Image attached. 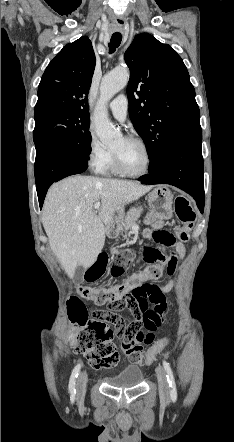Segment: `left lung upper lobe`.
I'll list each match as a JSON object with an SVG mask.
<instances>
[{
    "label": "left lung upper lobe",
    "instance_id": "obj_1",
    "mask_svg": "<svg viewBox=\"0 0 234 442\" xmlns=\"http://www.w3.org/2000/svg\"><path fill=\"white\" fill-rule=\"evenodd\" d=\"M125 61L130 118L146 145L151 170L174 137L200 125L195 90L177 52L150 34L135 36Z\"/></svg>",
    "mask_w": 234,
    "mask_h": 442
}]
</instances>
